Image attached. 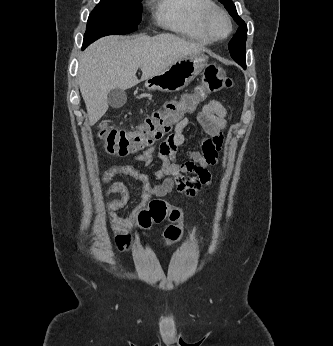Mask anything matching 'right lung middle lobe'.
Returning a JSON list of instances; mask_svg holds the SVG:
<instances>
[{"label": "right lung middle lobe", "instance_id": "dd1d6c3e", "mask_svg": "<svg viewBox=\"0 0 333 346\" xmlns=\"http://www.w3.org/2000/svg\"><path fill=\"white\" fill-rule=\"evenodd\" d=\"M141 10V0H101L89 15L83 49L100 37L135 31Z\"/></svg>", "mask_w": 333, "mask_h": 346}]
</instances>
